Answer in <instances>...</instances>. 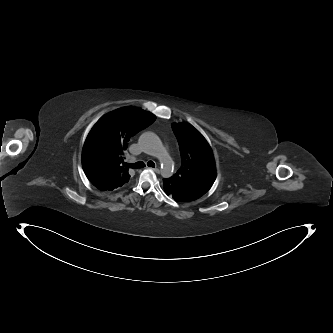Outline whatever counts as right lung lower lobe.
Wrapping results in <instances>:
<instances>
[{
  "mask_svg": "<svg viewBox=\"0 0 333 333\" xmlns=\"http://www.w3.org/2000/svg\"><path fill=\"white\" fill-rule=\"evenodd\" d=\"M83 164V163H82ZM84 172L86 174V176L88 177V179L91 181V183L96 186L95 184L97 183L96 178L91 176L93 172H90L89 167L86 166V164L84 163Z\"/></svg>",
  "mask_w": 333,
  "mask_h": 333,
  "instance_id": "right-lung-lower-lobe-1",
  "label": "right lung lower lobe"
}]
</instances>
